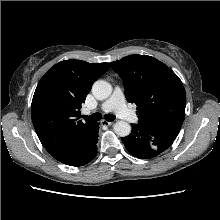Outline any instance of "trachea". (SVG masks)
Wrapping results in <instances>:
<instances>
[{"mask_svg": "<svg viewBox=\"0 0 220 220\" xmlns=\"http://www.w3.org/2000/svg\"><path fill=\"white\" fill-rule=\"evenodd\" d=\"M82 117L85 120H92V121H100L102 119V115L100 113H98V112L94 113V114H92L90 116L83 115ZM115 118L116 117L114 115H111V114H106L105 115V120L109 121V122L114 121Z\"/></svg>", "mask_w": 220, "mask_h": 220, "instance_id": "1", "label": "trachea"}]
</instances>
